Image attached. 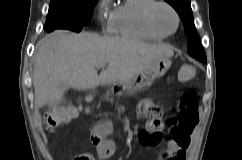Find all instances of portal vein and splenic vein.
<instances>
[{
  "mask_svg": "<svg viewBox=\"0 0 242 160\" xmlns=\"http://www.w3.org/2000/svg\"><path fill=\"white\" fill-rule=\"evenodd\" d=\"M105 64H101V65H99V66H97L98 68H105Z\"/></svg>",
  "mask_w": 242,
  "mask_h": 160,
  "instance_id": "1",
  "label": "portal vein and splenic vein"
}]
</instances>
